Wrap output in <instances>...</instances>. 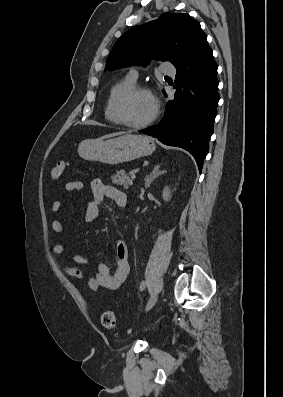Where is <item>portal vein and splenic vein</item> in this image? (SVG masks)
Segmentation results:
<instances>
[{
    "label": "portal vein and splenic vein",
    "mask_w": 283,
    "mask_h": 397,
    "mask_svg": "<svg viewBox=\"0 0 283 397\" xmlns=\"http://www.w3.org/2000/svg\"><path fill=\"white\" fill-rule=\"evenodd\" d=\"M130 176H131L132 179H135V178H136V175H135V173H134L133 171L130 172Z\"/></svg>",
    "instance_id": "obj_1"
}]
</instances>
